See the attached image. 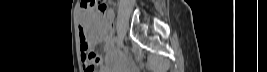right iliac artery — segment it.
Masks as SVG:
<instances>
[{
    "instance_id": "1",
    "label": "right iliac artery",
    "mask_w": 267,
    "mask_h": 72,
    "mask_svg": "<svg viewBox=\"0 0 267 72\" xmlns=\"http://www.w3.org/2000/svg\"><path fill=\"white\" fill-rule=\"evenodd\" d=\"M114 42L118 44L119 39H118V38H115V39H114Z\"/></svg>"
}]
</instances>
